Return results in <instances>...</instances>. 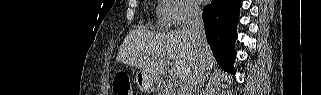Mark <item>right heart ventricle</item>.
<instances>
[{"instance_id": "e07e8e85", "label": "right heart ventricle", "mask_w": 321, "mask_h": 95, "mask_svg": "<svg viewBox=\"0 0 321 95\" xmlns=\"http://www.w3.org/2000/svg\"><path fill=\"white\" fill-rule=\"evenodd\" d=\"M156 14H157L156 23H157V25H158L160 28L165 29V28H168V27L171 25L168 21H166V20L162 17L159 8L157 9Z\"/></svg>"}]
</instances>
